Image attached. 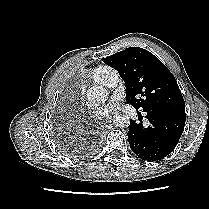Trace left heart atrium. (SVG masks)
<instances>
[{
    "label": "left heart atrium",
    "mask_w": 209,
    "mask_h": 209,
    "mask_svg": "<svg viewBox=\"0 0 209 209\" xmlns=\"http://www.w3.org/2000/svg\"><path fill=\"white\" fill-rule=\"evenodd\" d=\"M120 107V98L118 96L112 98L107 103L98 108L96 114L99 118L105 119L117 112Z\"/></svg>",
    "instance_id": "left-heart-atrium-1"
}]
</instances>
